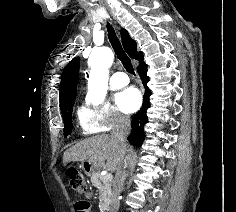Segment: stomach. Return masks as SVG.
Segmentation results:
<instances>
[{"label":"stomach","instance_id":"1","mask_svg":"<svg viewBox=\"0 0 236 212\" xmlns=\"http://www.w3.org/2000/svg\"><path fill=\"white\" fill-rule=\"evenodd\" d=\"M81 168L83 169L85 174L88 176H92L93 174H95L98 169V167L90 161L82 162Z\"/></svg>","mask_w":236,"mask_h":212}]
</instances>
